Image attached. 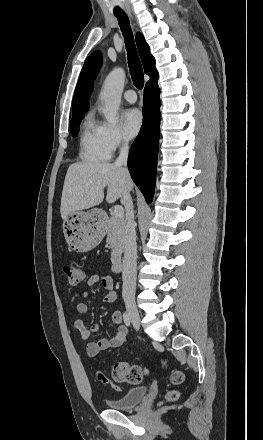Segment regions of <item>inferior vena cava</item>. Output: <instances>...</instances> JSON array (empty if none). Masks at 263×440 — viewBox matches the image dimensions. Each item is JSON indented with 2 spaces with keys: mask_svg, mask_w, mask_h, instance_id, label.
Instances as JSON below:
<instances>
[{
  "mask_svg": "<svg viewBox=\"0 0 263 440\" xmlns=\"http://www.w3.org/2000/svg\"><path fill=\"white\" fill-rule=\"evenodd\" d=\"M128 141L125 139L120 149L119 157L116 159L114 165L120 168L123 175L129 178V172L127 169L128 161ZM122 204L126 210V227L124 234V258H123V270H122V294L125 301L133 300L135 296L136 288V260H137V247H136V231L134 226V212L133 201L130 195V191L126 190L121 199Z\"/></svg>",
  "mask_w": 263,
  "mask_h": 440,
  "instance_id": "602c4592",
  "label": "inferior vena cava"
}]
</instances>
